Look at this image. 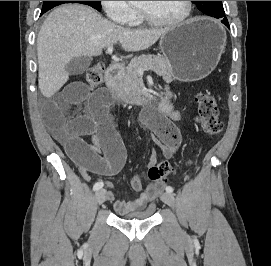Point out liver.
Returning <instances> with one entry per match:
<instances>
[{
  "instance_id": "1",
  "label": "liver",
  "mask_w": 271,
  "mask_h": 266,
  "mask_svg": "<svg viewBox=\"0 0 271 266\" xmlns=\"http://www.w3.org/2000/svg\"><path fill=\"white\" fill-rule=\"evenodd\" d=\"M168 30L124 28L89 6H60L47 16L38 34L39 89L46 98L58 92L69 78L63 67L76 57L100 55L103 48L117 42L125 51H142Z\"/></svg>"
}]
</instances>
